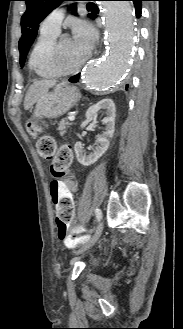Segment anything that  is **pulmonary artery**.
I'll use <instances>...</instances> for the list:
<instances>
[{"mask_svg": "<svg viewBox=\"0 0 183 329\" xmlns=\"http://www.w3.org/2000/svg\"><path fill=\"white\" fill-rule=\"evenodd\" d=\"M65 16L63 7H58L50 12L42 21L40 31L59 34L60 25Z\"/></svg>", "mask_w": 183, "mask_h": 329, "instance_id": "pulmonary-artery-1", "label": "pulmonary artery"}]
</instances>
